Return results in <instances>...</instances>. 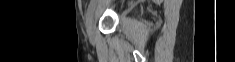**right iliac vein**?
<instances>
[{"mask_svg": "<svg viewBox=\"0 0 235 62\" xmlns=\"http://www.w3.org/2000/svg\"><path fill=\"white\" fill-rule=\"evenodd\" d=\"M94 18V15H92L88 25L86 26L87 35L89 38H92L94 35Z\"/></svg>", "mask_w": 235, "mask_h": 62, "instance_id": "1", "label": "right iliac vein"}]
</instances>
